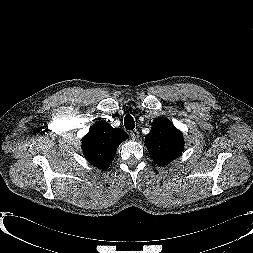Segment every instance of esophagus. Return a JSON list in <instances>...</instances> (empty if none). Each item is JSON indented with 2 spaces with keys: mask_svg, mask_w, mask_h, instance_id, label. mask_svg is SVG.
<instances>
[{
  "mask_svg": "<svg viewBox=\"0 0 253 253\" xmlns=\"http://www.w3.org/2000/svg\"><path fill=\"white\" fill-rule=\"evenodd\" d=\"M130 135L133 140H137L139 138V132L136 129L132 130Z\"/></svg>",
  "mask_w": 253,
  "mask_h": 253,
  "instance_id": "1",
  "label": "esophagus"
}]
</instances>
